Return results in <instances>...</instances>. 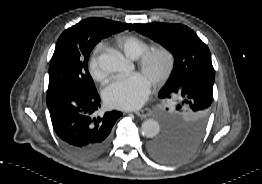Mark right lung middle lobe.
Masks as SVG:
<instances>
[{
	"instance_id": "obj_1",
	"label": "right lung middle lobe",
	"mask_w": 262,
	"mask_h": 184,
	"mask_svg": "<svg viewBox=\"0 0 262 184\" xmlns=\"http://www.w3.org/2000/svg\"><path fill=\"white\" fill-rule=\"evenodd\" d=\"M119 32L100 24L79 22L59 37L49 67V88L67 87L84 92L97 91L88 72L91 50L102 39Z\"/></svg>"
}]
</instances>
